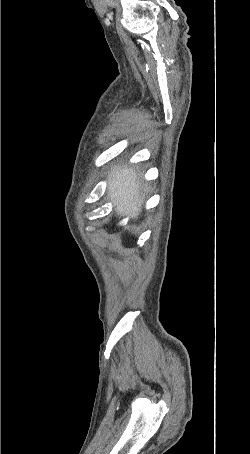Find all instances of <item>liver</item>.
<instances>
[{"label": "liver", "mask_w": 250, "mask_h": 454, "mask_svg": "<svg viewBox=\"0 0 250 454\" xmlns=\"http://www.w3.org/2000/svg\"><path fill=\"white\" fill-rule=\"evenodd\" d=\"M107 194L118 216L135 219L141 213L144 195H140V178L133 167L116 166L108 175Z\"/></svg>", "instance_id": "liver-1"}]
</instances>
